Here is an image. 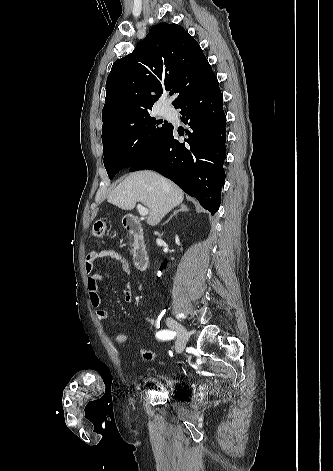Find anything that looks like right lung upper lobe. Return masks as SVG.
Wrapping results in <instances>:
<instances>
[{"mask_svg": "<svg viewBox=\"0 0 333 471\" xmlns=\"http://www.w3.org/2000/svg\"><path fill=\"white\" fill-rule=\"evenodd\" d=\"M212 68L197 41L177 24L151 28L131 54L114 62L106 81L103 130L152 109L166 90L176 107Z\"/></svg>", "mask_w": 333, "mask_h": 471, "instance_id": "cb5924a9", "label": "right lung upper lobe"}]
</instances>
